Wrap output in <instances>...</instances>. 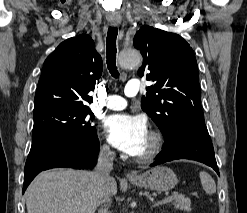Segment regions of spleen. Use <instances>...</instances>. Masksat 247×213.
I'll use <instances>...</instances> for the list:
<instances>
[{
  "instance_id": "3e777b00",
  "label": "spleen",
  "mask_w": 247,
  "mask_h": 213,
  "mask_svg": "<svg viewBox=\"0 0 247 213\" xmlns=\"http://www.w3.org/2000/svg\"><path fill=\"white\" fill-rule=\"evenodd\" d=\"M201 184L208 194H213L216 192V185L213 178L206 172L201 171L199 173Z\"/></svg>"
}]
</instances>
